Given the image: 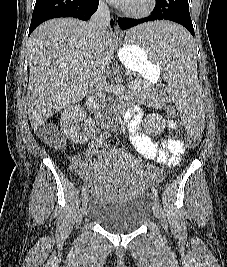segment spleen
Segmentation results:
<instances>
[{"label":"spleen","mask_w":227,"mask_h":267,"mask_svg":"<svg viewBox=\"0 0 227 267\" xmlns=\"http://www.w3.org/2000/svg\"><path fill=\"white\" fill-rule=\"evenodd\" d=\"M124 43L131 47H143L148 59L162 63L163 81H167L169 93L176 98L179 106L178 115H202L201 89L197 76V61L193 43L197 38H191L188 30L181 22L174 19H151V22H141L126 33ZM181 121L191 137H198L206 129V116H181Z\"/></svg>","instance_id":"spleen-1"}]
</instances>
